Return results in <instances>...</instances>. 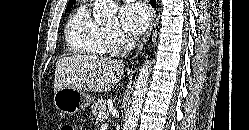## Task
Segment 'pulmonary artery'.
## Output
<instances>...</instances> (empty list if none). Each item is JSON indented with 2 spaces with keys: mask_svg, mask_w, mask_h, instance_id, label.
I'll return each mask as SVG.
<instances>
[{
  "mask_svg": "<svg viewBox=\"0 0 249 130\" xmlns=\"http://www.w3.org/2000/svg\"><path fill=\"white\" fill-rule=\"evenodd\" d=\"M126 1H128V2H129V1H134V0H126Z\"/></svg>",
  "mask_w": 249,
  "mask_h": 130,
  "instance_id": "e3ab8cb5",
  "label": "pulmonary artery"
}]
</instances>
